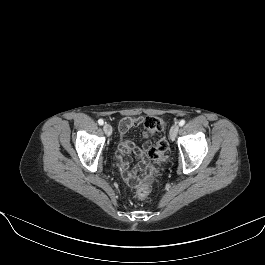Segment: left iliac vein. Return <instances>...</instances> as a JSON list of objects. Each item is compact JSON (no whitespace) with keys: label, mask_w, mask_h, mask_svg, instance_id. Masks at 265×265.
Segmentation results:
<instances>
[{"label":"left iliac vein","mask_w":265,"mask_h":265,"mask_svg":"<svg viewBox=\"0 0 265 265\" xmlns=\"http://www.w3.org/2000/svg\"><path fill=\"white\" fill-rule=\"evenodd\" d=\"M179 131V126L177 124H174L170 129V138L173 140L176 138Z\"/></svg>","instance_id":"obj_1"}]
</instances>
